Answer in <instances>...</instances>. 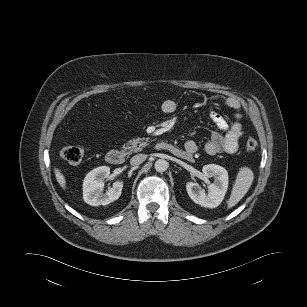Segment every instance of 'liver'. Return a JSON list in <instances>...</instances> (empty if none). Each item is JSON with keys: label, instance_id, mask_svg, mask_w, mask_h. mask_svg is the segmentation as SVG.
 Returning a JSON list of instances; mask_svg holds the SVG:
<instances>
[{"label": "liver", "instance_id": "liver-1", "mask_svg": "<svg viewBox=\"0 0 307 307\" xmlns=\"http://www.w3.org/2000/svg\"><path fill=\"white\" fill-rule=\"evenodd\" d=\"M54 173H55V177H56V180L59 183V185L63 189H66V179H65V176L61 173V171L58 168H54Z\"/></svg>", "mask_w": 307, "mask_h": 307}]
</instances>
